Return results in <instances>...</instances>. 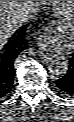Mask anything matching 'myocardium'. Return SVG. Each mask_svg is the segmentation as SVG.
<instances>
[{
	"label": "myocardium",
	"instance_id": "myocardium-1",
	"mask_svg": "<svg viewBox=\"0 0 74 122\" xmlns=\"http://www.w3.org/2000/svg\"><path fill=\"white\" fill-rule=\"evenodd\" d=\"M56 9L62 14L74 12V1H52Z\"/></svg>",
	"mask_w": 74,
	"mask_h": 122
}]
</instances>
